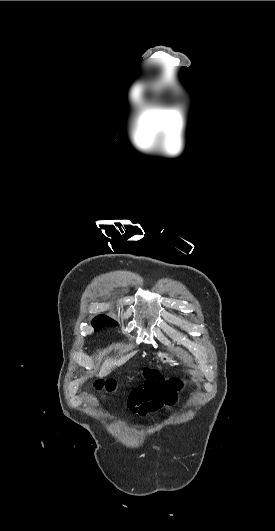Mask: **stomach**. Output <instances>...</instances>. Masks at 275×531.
Segmentation results:
<instances>
[{
    "mask_svg": "<svg viewBox=\"0 0 275 531\" xmlns=\"http://www.w3.org/2000/svg\"><path fill=\"white\" fill-rule=\"evenodd\" d=\"M145 358L147 361H161V363H166V365H172L174 363L172 357L168 353H161V351L156 350H147L145 353Z\"/></svg>",
    "mask_w": 275,
    "mask_h": 531,
    "instance_id": "1",
    "label": "stomach"
}]
</instances>
